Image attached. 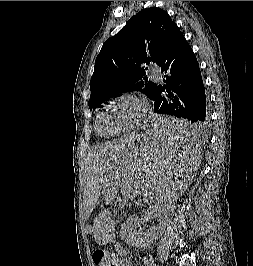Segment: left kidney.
Here are the masks:
<instances>
[{"label": "left kidney", "instance_id": "5707ae66", "mask_svg": "<svg viewBox=\"0 0 253 266\" xmlns=\"http://www.w3.org/2000/svg\"><path fill=\"white\" fill-rule=\"evenodd\" d=\"M145 220H147V217L139 218L137 215H131L122 224L120 235L127 244L135 247H145L155 239L157 234L154 231L139 232L136 230L137 226Z\"/></svg>", "mask_w": 253, "mask_h": 266}]
</instances>
